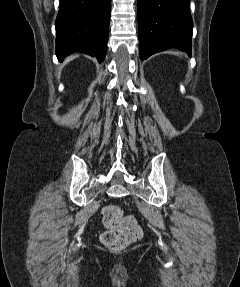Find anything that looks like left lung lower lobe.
<instances>
[{
	"label": "left lung lower lobe",
	"mask_w": 240,
	"mask_h": 287,
	"mask_svg": "<svg viewBox=\"0 0 240 287\" xmlns=\"http://www.w3.org/2000/svg\"><path fill=\"white\" fill-rule=\"evenodd\" d=\"M140 59L178 48L191 55L190 0H137Z\"/></svg>",
	"instance_id": "left-lung-lower-lobe-1"
}]
</instances>
